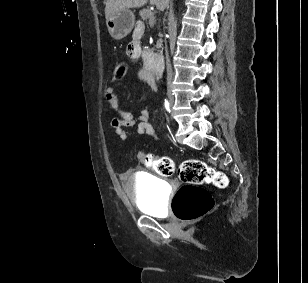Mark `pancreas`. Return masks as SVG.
<instances>
[{
    "instance_id": "1",
    "label": "pancreas",
    "mask_w": 308,
    "mask_h": 283,
    "mask_svg": "<svg viewBox=\"0 0 308 283\" xmlns=\"http://www.w3.org/2000/svg\"><path fill=\"white\" fill-rule=\"evenodd\" d=\"M141 18L143 20H148L150 26H153L155 23V17H154V13H152L149 9H143L139 12ZM161 44H159L160 46Z\"/></svg>"
}]
</instances>
